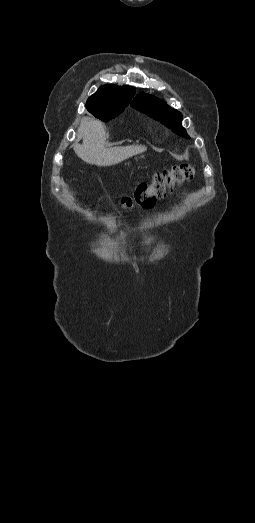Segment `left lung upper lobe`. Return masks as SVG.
<instances>
[{"label":"left lung upper lobe","instance_id":"left-lung-upper-lobe-1","mask_svg":"<svg viewBox=\"0 0 255 523\" xmlns=\"http://www.w3.org/2000/svg\"><path fill=\"white\" fill-rule=\"evenodd\" d=\"M131 105L161 121L179 136L189 138L186 130L181 126L182 114L168 106L164 101L152 95L140 93L135 97Z\"/></svg>","mask_w":255,"mask_h":523}]
</instances>
